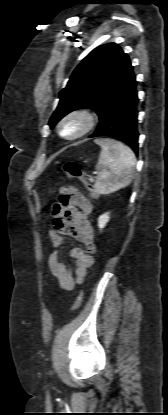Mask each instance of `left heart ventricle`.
<instances>
[{
	"label": "left heart ventricle",
	"instance_id": "left-heart-ventricle-1",
	"mask_svg": "<svg viewBox=\"0 0 168 415\" xmlns=\"http://www.w3.org/2000/svg\"><path fill=\"white\" fill-rule=\"evenodd\" d=\"M83 122L79 118H71L67 120L62 126V133L65 136H71L81 130Z\"/></svg>",
	"mask_w": 168,
	"mask_h": 415
}]
</instances>
